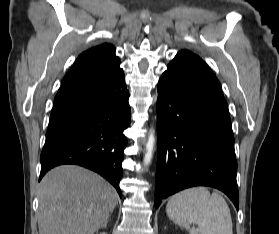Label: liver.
Returning <instances> with one entry per match:
<instances>
[{
	"instance_id": "6515ba94",
	"label": "liver",
	"mask_w": 279,
	"mask_h": 234,
	"mask_svg": "<svg viewBox=\"0 0 279 234\" xmlns=\"http://www.w3.org/2000/svg\"><path fill=\"white\" fill-rule=\"evenodd\" d=\"M117 202L116 190L96 173L74 165L56 167L40 184L39 234H94Z\"/></svg>"
}]
</instances>
